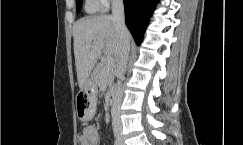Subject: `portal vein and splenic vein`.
I'll list each match as a JSON object with an SVG mask.
<instances>
[{"label": "portal vein and splenic vein", "instance_id": "18ae733b", "mask_svg": "<svg viewBox=\"0 0 243 145\" xmlns=\"http://www.w3.org/2000/svg\"><path fill=\"white\" fill-rule=\"evenodd\" d=\"M105 63L107 65V67L114 65L113 57L111 55H107L106 58H105Z\"/></svg>", "mask_w": 243, "mask_h": 145}]
</instances>
